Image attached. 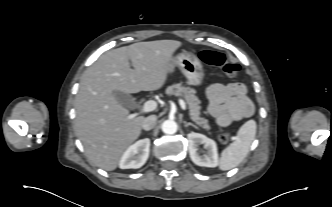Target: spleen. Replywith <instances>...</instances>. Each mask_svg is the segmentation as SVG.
<instances>
[{"label":"spleen","mask_w":332,"mask_h":207,"mask_svg":"<svg viewBox=\"0 0 332 207\" xmlns=\"http://www.w3.org/2000/svg\"><path fill=\"white\" fill-rule=\"evenodd\" d=\"M255 135L256 122L249 120L244 123L238 130L236 140L222 151L219 168L226 171L239 165L247 156Z\"/></svg>","instance_id":"obj_1"}]
</instances>
